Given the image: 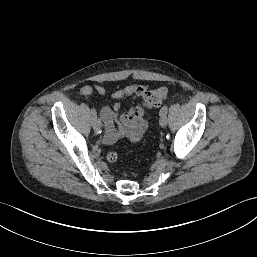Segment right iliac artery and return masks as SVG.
I'll list each match as a JSON object with an SVG mask.
<instances>
[{
  "mask_svg": "<svg viewBox=\"0 0 257 257\" xmlns=\"http://www.w3.org/2000/svg\"><path fill=\"white\" fill-rule=\"evenodd\" d=\"M90 116H91L92 121L97 119V112H96L95 108H91Z\"/></svg>",
  "mask_w": 257,
  "mask_h": 257,
  "instance_id": "82829eb1",
  "label": "right iliac artery"
}]
</instances>
